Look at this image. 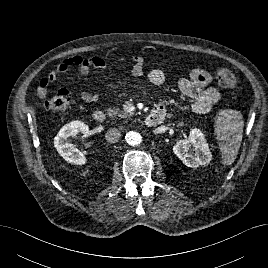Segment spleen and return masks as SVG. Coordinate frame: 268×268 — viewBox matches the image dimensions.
Here are the masks:
<instances>
[{"label":"spleen","mask_w":268,"mask_h":268,"mask_svg":"<svg viewBox=\"0 0 268 268\" xmlns=\"http://www.w3.org/2000/svg\"><path fill=\"white\" fill-rule=\"evenodd\" d=\"M244 121L242 114L233 109L221 110L218 113L215 134L219 142L224 165H231L240 149Z\"/></svg>","instance_id":"3e777b00"}]
</instances>
